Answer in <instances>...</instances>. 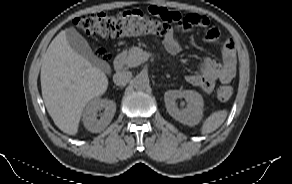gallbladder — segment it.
Returning <instances> with one entry per match:
<instances>
[{
  "mask_svg": "<svg viewBox=\"0 0 292 184\" xmlns=\"http://www.w3.org/2000/svg\"><path fill=\"white\" fill-rule=\"evenodd\" d=\"M66 39L70 45V47L89 60L92 65L102 69V70H107L108 65L105 61L99 59L92 51L90 48L88 42L86 39L79 33L77 30L73 27L68 28L66 31Z\"/></svg>",
  "mask_w": 292,
  "mask_h": 184,
  "instance_id": "1",
  "label": "gallbladder"
}]
</instances>
